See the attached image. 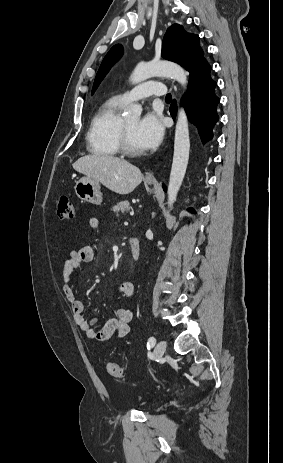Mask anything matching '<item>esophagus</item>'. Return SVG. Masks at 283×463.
Returning <instances> with one entry per match:
<instances>
[{
    "label": "esophagus",
    "instance_id": "1",
    "mask_svg": "<svg viewBox=\"0 0 283 463\" xmlns=\"http://www.w3.org/2000/svg\"><path fill=\"white\" fill-rule=\"evenodd\" d=\"M145 180L148 182H156L155 172L154 171L148 172L145 176Z\"/></svg>",
    "mask_w": 283,
    "mask_h": 463
}]
</instances>
